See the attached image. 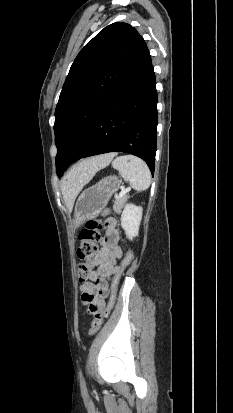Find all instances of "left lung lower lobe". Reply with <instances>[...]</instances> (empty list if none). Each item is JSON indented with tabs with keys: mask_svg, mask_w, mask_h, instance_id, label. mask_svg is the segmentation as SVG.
<instances>
[{
	"mask_svg": "<svg viewBox=\"0 0 233 413\" xmlns=\"http://www.w3.org/2000/svg\"><path fill=\"white\" fill-rule=\"evenodd\" d=\"M155 85L151 56L144 42L94 118L71 162L97 154L125 152L143 159L153 175L158 123Z\"/></svg>",
	"mask_w": 233,
	"mask_h": 413,
	"instance_id": "obj_1",
	"label": "left lung lower lobe"
}]
</instances>
